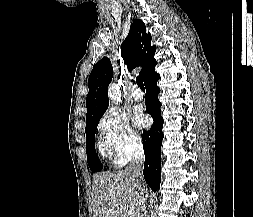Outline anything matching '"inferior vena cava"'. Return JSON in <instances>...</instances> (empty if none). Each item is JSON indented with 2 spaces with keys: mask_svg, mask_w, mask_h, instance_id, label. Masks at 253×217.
I'll return each instance as SVG.
<instances>
[{
  "mask_svg": "<svg viewBox=\"0 0 253 217\" xmlns=\"http://www.w3.org/2000/svg\"><path fill=\"white\" fill-rule=\"evenodd\" d=\"M143 163H144V151L143 146L141 142H138L135 144L130 164L127 166L126 171L131 174L133 178V184H134V193L135 196H137V205L140 209L138 213V217H144L146 215V207H147V200L149 189L147 185H145L144 179H139V177L142 175L143 172Z\"/></svg>",
  "mask_w": 253,
  "mask_h": 217,
  "instance_id": "1",
  "label": "inferior vena cava"
}]
</instances>
